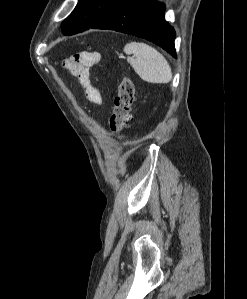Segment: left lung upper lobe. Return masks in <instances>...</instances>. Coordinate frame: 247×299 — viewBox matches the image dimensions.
Masks as SVG:
<instances>
[{
    "label": "left lung upper lobe",
    "mask_w": 247,
    "mask_h": 299,
    "mask_svg": "<svg viewBox=\"0 0 247 299\" xmlns=\"http://www.w3.org/2000/svg\"><path fill=\"white\" fill-rule=\"evenodd\" d=\"M125 0H78L72 13L62 22L65 35H73L91 28Z\"/></svg>",
    "instance_id": "obj_1"
}]
</instances>
